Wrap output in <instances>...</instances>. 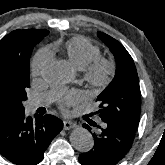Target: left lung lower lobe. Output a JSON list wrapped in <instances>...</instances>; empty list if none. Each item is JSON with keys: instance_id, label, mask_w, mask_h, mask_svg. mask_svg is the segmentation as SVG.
Wrapping results in <instances>:
<instances>
[{"instance_id": "left-lung-lower-lobe-1", "label": "left lung lower lobe", "mask_w": 165, "mask_h": 165, "mask_svg": "<svg viewBox=\"0 0 165 165\" xmlns=\"http://www.w3.org/2000/svg\"><path fill=\"white\" fill-rule=\"evenodd\" d=\"M83 126L91 130L87 124H83ZM100 129L98 134H93V148L87 153L79 155V162L82 165H115L131 148L135 132L112 123H105Z\"/></svg>"}]
</instances>
